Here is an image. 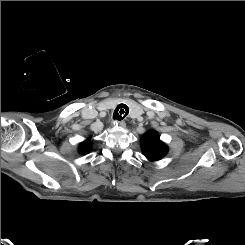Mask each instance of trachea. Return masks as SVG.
Segmentation results:
<instances>
[{"mask_svg": "<svg viewBox=\"0 0 245 245\" xmlns=\"http://www.w3.org/2000/svg\"><path fill=\"white\" fill-rule=\"evenodd\" d=\"M129 113V108L125 104H120L116 107L113 118L116 120H122L124 119Z\"/></svg>", "mask_w": 245, "mask_h": 245, "instance_id": "3493384b", "label": "trachea"}]
</instances>
